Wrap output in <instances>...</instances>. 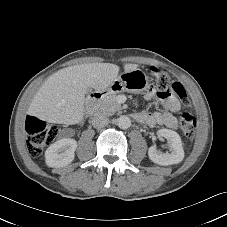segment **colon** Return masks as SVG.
<instances>
[{"mask_svg": "<svg viewBox=\"0 0 227 227\" xmlns=\"http://www.w3.org/2000/svg\"><path fill=\"white\" fill-rule=\"evenodd\" d=\"M155 89L171 90L182 101L184 106L190 105V99L183 85L174 82L164 71L154 69ZM25 127L27 131L28 152L32 157H38L42 154L45 146L51 144L58 136L59 129L56 125L47 123L37 117L28 116ZM180 127L183 134L189 138H194L196 134L197 121L189 112H184L180 117Z\"/></svg>", "mask_w": 227, "mask_h": 227, "instance_id": "obj_1", "label": "colon"}]
</instances>
